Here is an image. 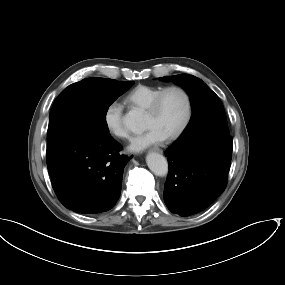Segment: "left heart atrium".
I'll use <instances>...</instances> for the list:
<instances>
[{
    "instance_id": "left-heart-atrium-1",
    "label": "left heart atrium",
    "mask_w": 285,
    "mask_h": 285,
    "mask_svg": "<svg viewBox=\"0 0 285 285\" xmlns=\"http://www.w3.org/2000/svg\"><path fill=\"white\" fill-rule=\"evenodd\" d=\"M165 139V136L155 128H150L142 135L133 138L129 145V149L132 151H141L149 147L152 144H156Z\"/></svg>"
}]
</instances>
